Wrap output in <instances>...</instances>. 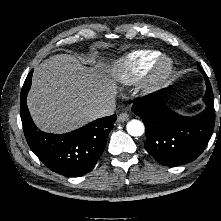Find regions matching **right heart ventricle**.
<instances>
[{"mask_svg":"<svg viewBox=\"0 0 221 221\" xmlns=\"http://www.w3.org/2000/svg\"><path fill=\"white\" fill-rule=\"evenodd\" d=\"M161 56L156 50H136L124 55L115 65L114 77L125 85H132L143 78Z\"/></svg>","mask_w":221,"mask_h":221,"instance_id":"right-heart-ventricle-1","label":"right heart ventricle"}]
</instances>
